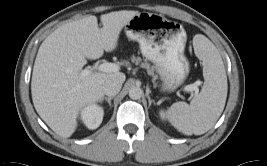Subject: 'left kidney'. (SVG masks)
Wrapping results in <instances>:
<instances>
[{
  "label": "left kidney",
  "mask_w": 267,
  "mask_h": 166,
  "mask_svg": "<svg viewBox=\"0 0 267 166\" xmlns=\"http://www.w3.org/2000/svg\"><path fill=\"white\" fill-rule=\"evenodd\" d=\"M160 116L162 119L164 118V113L162 111L160 112Z\"/></svg>",
  "instance_id": "obj_1"
}]
</instances>
